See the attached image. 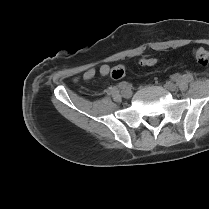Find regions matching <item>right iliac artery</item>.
Segmentation results:
<instances>
[{"instance_id":"obj_1","label":"right iliac artery","mask_w":209,"mask_h":209,"mask_svg":"<svg viewBox=\"0 0 209 209\" xmlns=\"http://www.w3.org/2000/svg\"><path fill=\"white\" fill-rule=\"evenodd\" d=\"M127 86H128V83H127V82H121V83L118 85V87H119L120 89H125V88H127Z\"/></svg>"}]
</instances>
